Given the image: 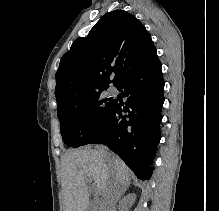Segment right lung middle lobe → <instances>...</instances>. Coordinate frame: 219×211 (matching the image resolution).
<instances>
[{
    "label": "right lung middle lobe",
    "instance_id": "1",
    "mask_svg": "<svg viewBox=\"0 0 219 211\" xmlns=\"http://www.w3.org/2000/svg\"><path fill=\"white\" fill-rule=\"evenodd\" d=\"M102 91L58 105L60 131L67 146L85 145L90 132L107 118L115 100L104 97Z\"/></svg>",
    "mask_w": 219,
    "mask_h": 211
}]
</instances>
